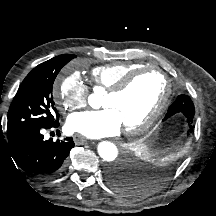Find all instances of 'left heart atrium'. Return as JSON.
Masks as SVG:
<instances>
[{
    "label": "left heart atrium",
    "mask_w": 216,
    "mask_h": 216,
    "mask_svg": "<svg viewBox=\"0 0 216 216\" xmlns=\"http://www.w3.org/2000/svg\"><path fill=\"white\" fill-rule=\"evenodd\" d=\"M122 127L117 113L108 107L98 111H84L71 114L66 121V129L88 138H101L119 133Z\"/></svg>",
    "instance_id": "left-heart-atrium-1"
}]
</instances>
